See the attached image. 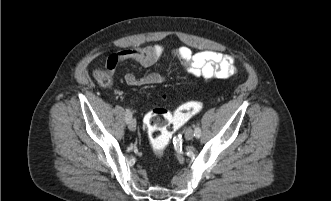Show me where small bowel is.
Here are the masks:
<instances>
[{"instance_id": "obj_1", "label": "small bowel", "mask_w": 331, "mask_h": 201, "mask_svg": "<svg viewBox=\"0 0 331 201\" xmlns=\"http://www.w3.org/2000/svg\"><path fill=\"white\" fill-rule=\"evenodd\" d=\"M164 52L160 45L122 50L108 61V68L113 70L125 61H134L143 67H150L159 61ZM171 55L179 60L184 71L195 79H226L236 73L233 58L219 51L202 50L194 53L188 47H179L172 50ZM124 79L128 85L137 87L160 83L165 80V76L158 72H150L141 77L127 73Z\"/></svg>"}]
</instances>
